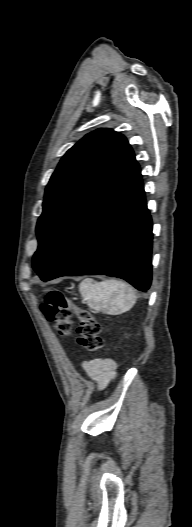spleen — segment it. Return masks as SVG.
<instances>
[{"label":"spleen","mask_w":192,"mask_h":527,"mask_svg":"<svg viewBox=\"0 0 192 527\" xmlns=\"http://www.w3.org/2000/svg\"><path fill=\"white\" fill-rule=\"evenodd\" d=\"M79 290L91 308L112 314L124 313L130 310L136 302L134 289L114 279L98 283L91 278H86L80 283Z\"/></svg>","instance_id":"1"}]
</instances>
